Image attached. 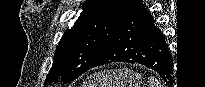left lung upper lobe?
<instances>
[{"label": "left lung upper lobe", "mask_w": 205, "mask_h": 87, "mask_svg": "<svg viewBox=\"0 0 205 87\" xmlns=\"http://www.w3.org/2000/svg\"><path fill=\"white\" fill-rule=\"evenodd\" d=\"M137 1L87 0L56 48L47 81H56L60 76L68 83L89 70Z\"/></svg>", "instance_id": "1"}]
</instances>
